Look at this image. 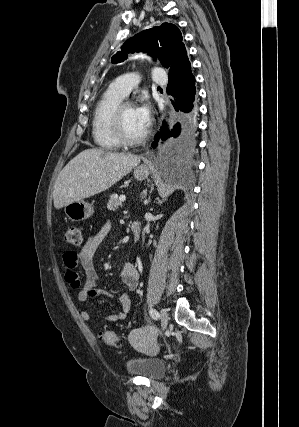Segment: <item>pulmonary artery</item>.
Returning a JSON list of instances; mask_svg holds the SVG:
<instances>
[{
	"mask_svg": "<svg viewBox=\"0 0 299 427\" xmlns=\"http://www.w3.org/2000/svg\"><path fill=\"white\" fill-rule=\"evenodd\" d=\"M153 79L157 83L165 84V72L160 67H155L153 70ZM140 79L135 73H124L118 76L112 83L111 88L119 93L121 96L126 97L130 91L139 83Z\"/></svg>",
	"mask_w": 299,
	"mask_h": 427,
	"instance_id": "1",
	"label": "pulmonary artery"
}]
</instances>
